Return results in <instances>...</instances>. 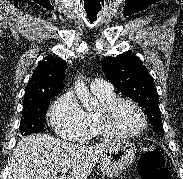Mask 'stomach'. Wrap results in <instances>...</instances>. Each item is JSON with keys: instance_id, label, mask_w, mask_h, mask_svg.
I'll use <instances>...</instances> for the list:
<instances>
[{"instance_id": "1", "label": "stomach", "mask_w": 183, "mask_h": 179, "mask_svg": "<svg viewBox=\"0 0 183 179\" xmlns=\"http://www.w3.org/2000/svg\"><path fill=\"white\" fill-rule=\"evenodd\" d=\"M136 148L126 140L112 142L102 154L99 165L102 172L109 178L118 177L133 162Z\"/></svg>"}]
</instances>
